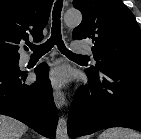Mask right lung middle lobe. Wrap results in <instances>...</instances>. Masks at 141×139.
Wrapping results in <instances>:
<instances>
[{"mask_svg":"<svg viewBox=\"0 0 141 139\" xmlns=\"http://www.w3.org/2000/svg\"><path fill=\"white\" fill-rule=\"evenodd\" d=\"M18 61L19 58L0 56V72L19 70Z\"/></svg>","mask_w":141,"mask_h":139,"instance_id":"right-lung-middle-lobe-1","label":"right lung middle lobe"}]
</instances>
